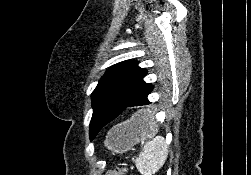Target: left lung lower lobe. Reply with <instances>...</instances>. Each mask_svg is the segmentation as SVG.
Masks as SVG:
<instances>
[{
	"label": "left lung lower lobe",
	"mask_w": 251,
	"mask_h": 175,
	"mask_svg": "<svg viewBox=\"0 0 251 175\" xmlns=\"http://www.w3.org/2000/svg\"><path fill=\"white\" fill-rule=\"evenodd\" d=\"M153 86L144 81L136 88L129 101L125 104L111 103L102 107L98 111L97 119L103 124H108L111 121L121 117L147 118L154 114V111L145 107L149 105L148 95L152 91Z\"/></svg>",
	"instance_id": "1"
}]
</instances>
